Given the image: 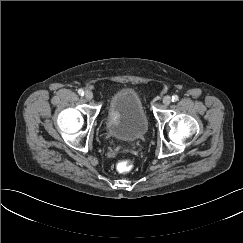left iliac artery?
<instances>
[{
	"label": "left iliac artery",
	"instance_id": "obj_1",
	"mask_svg": "<svg viewBox=\"0 0 243 243\" xmlns=\"http://www.w3.org/2000/svg\"><path fill=\"white\" fill-rule=\"evenodd\" d=\"M179 100V97L177 95L172 96V101L176 102Z\"/></svg>",
	"mask_w": 243,
	"mask_h": 243
}]
</instances>
